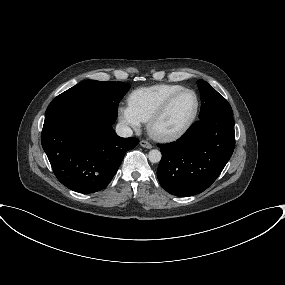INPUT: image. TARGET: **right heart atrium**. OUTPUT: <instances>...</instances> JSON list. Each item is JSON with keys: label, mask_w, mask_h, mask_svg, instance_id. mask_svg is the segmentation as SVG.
Returning <instances> with one entry per match:
<instances>
[{"label": "right heart atrium", "mask_w": 285, "mask_h": 285, "mask_svg": "<svg viewBox=\"0 0 285 285\" xmlns=\"http://www.w3.org/2000/svg\"><path fill=\"white\" fill-rule=\"evenodd\" d=\"M118 118L126 127L137 130L141 126V120L129 105H122L118 108Z\"/></svg>", "instance_id": "1"}]
</instances>
